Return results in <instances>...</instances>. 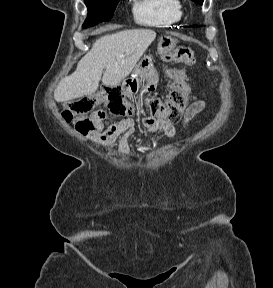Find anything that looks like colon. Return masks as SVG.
Returning <instances> with one entry per match:
<instances>
[{
  "label": "colon",
  "mask_w": 273,
  "mask_h": 288,
  "mask_svg": "<svg viewBox=\"0 0 273 288\" xmlns=\"http://www.w3.org/2000/svg\"><path fill=\"white\" fill-rule=\"evenodd\" d=\"M161 53L166 61L177 62L185 67L194 65L196 61L195 52L187 46H178L169 39H165L161 45ZM170 76L174 80L172 89L165 101L158 97L150 98L146 107L151 117L176 123L180 120L184 109L188 103L189 88L186 84L185 68L173 69ZM106 110L116 116L132 115L135 111L118 89H107L102 97ZM99 99L90 96H84L72 100L61 111L63 119L67 122H74L76 130L81 134L92 132L98 121H101L106 112L103 110L94 111Z\"/></svg>",
  "instance_id": "colon-1"
}]
</instances>
